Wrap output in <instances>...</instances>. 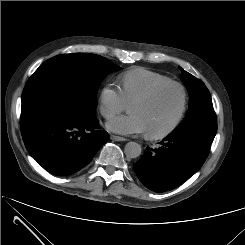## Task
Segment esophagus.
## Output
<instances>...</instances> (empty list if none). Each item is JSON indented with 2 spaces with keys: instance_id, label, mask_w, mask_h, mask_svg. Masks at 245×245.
Here are the masks:
<instances>
[{
  "instance_id": "esophagus-1",
  "label": "esophagus",
  "mask_w": 245,
  "mask_h": 245,
  "mask_svg": "<svg viewBox=\"0 0 245 245\" xmlns=\"http://www.w3.org/2000/svg\"><path fill=\"white\" fill-rule=\"evenodd\" d=\"M110 139H111V140H114V141H118V142L126 141V140H127V139L124 138V137H120V136H116V135H111V136H110Z\"/></svg>"
}]
</instances>
